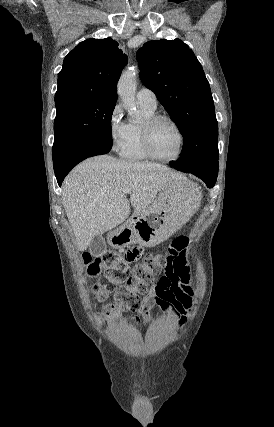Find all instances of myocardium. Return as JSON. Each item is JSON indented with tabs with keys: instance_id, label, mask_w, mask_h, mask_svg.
<instances>
[{
	"instance_id": "obj_1",
	"label": "myocardium",
	"mask_w": 274,
	"mask_h": 427,
	"mask_svg": "<svg viewBox=\"0 0 274 427\" xmlns=\"http://www.w3.org/2000/svg\"><path fill=\"white\" fill-rule=\"evenodd\" d=\"M159 122L169 123L175 128V130L179 135V139H180L179 151L177 155L173 158H163L159 156L152 147V141H151L152 132L154 127ZM141 144L145 154L150 159L159 161V162H164V163L175 162L183 156L184 149H185V135L181 127L178 125V123L175 120H173L172 118L166 115L155 114L151 117L146 118L141 125Z\"/></svg>"
}]
</instances>
